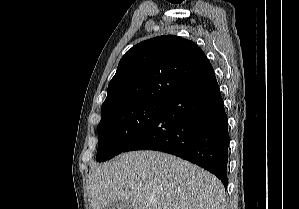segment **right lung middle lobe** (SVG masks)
I'll return each mask as SVG.
<instances>
[{"label": "right lung middle lobe", "instance_id": "right-lung-middle-lobe-1", "mask_svg": "<svg viewBox=\"0 0 299 209\" xmlns=\"http://www.w3.org/2000/svg\"><path fill=\"white\" fill-rule=\"evenodd\" d=\"M163 104L143 101L102 112L96 160L103 162L123 152L149 126Z\"/></svg>", "mask_w": 299, "mask_h": 209}]
</instances>
